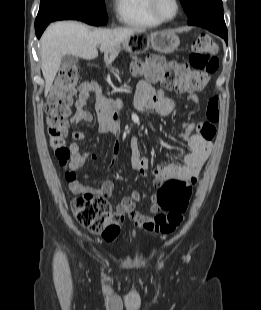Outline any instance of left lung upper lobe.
Returning <instances> with one entry per match:
<instances>
[{
    "mask_svg": "<svg viewBox=\"0 0 261 310\" xmlns=\"http://www.w3.org/2000/svg\"><path fill=\"white\" fill-rule=\"evenodd\" d=\"M180 2L188 16L189 25L207 20L225 25L222 0H180Z\"/></svg>",
    "mask_w": 261,
    "mask_h": 310,
    "instance_id": "1",
    "label": "left lung upper lobe"
}]
</instances>
